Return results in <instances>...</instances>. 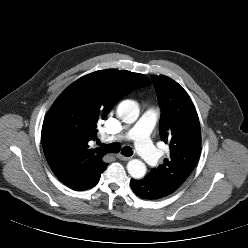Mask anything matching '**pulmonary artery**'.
I'll use <instances>...</instances> for the list:
<instances>
[{
	"mask_svg": "<svg viewBox=\"0 0 248 248\" xmlns=\"http://www.w3.org/2000/svg\"><path fill=\"white\" fill-rule=\"evenodd\" d=\"M159 110L148 107L139 120L124 133L110 137L111 141L133 140L139 155L149 164L155 165L159 162L161 153L154 147L150 140V132L159 117Z\"/></svg>",
	"mask_w": 248,
	"mask_h": 248,
	"instance_id": "obj_1",
	"label": "pulmonary artery"
}]
</instances>
